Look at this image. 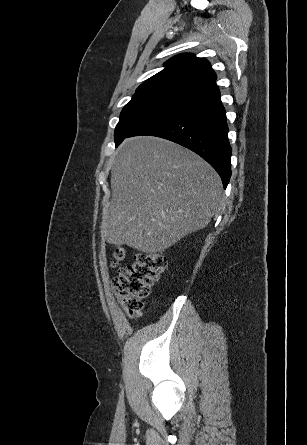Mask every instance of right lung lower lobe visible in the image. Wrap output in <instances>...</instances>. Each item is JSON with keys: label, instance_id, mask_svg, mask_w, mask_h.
I'll return each mask as SVG.
<instances>
[{"label": "right lung lower lobe", "instance_id": "1", "mask_svg": "<svg viewBox=\"0 0 307 445\" xmlns=\"http://www.w3.org/2000/svg\"><path fill=\"white\" fill-rule=\"evenodd\" d=\"M227 134L225 109L215 86L133 130L116 142V147L125 138L137 135L168 139L205 159L218 172L226 188L231 176V147Z\"/></svg>", "mask_w": 307, "mask_h": 445}]
</instances>
